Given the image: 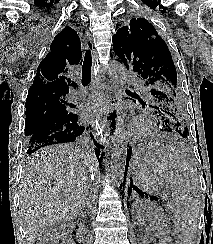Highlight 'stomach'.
I'll list each match as a JSON object with an SVG mask.
<instances>
[{
    "label": "stomach",
    "mask_w": 213,
    "mask_h": 244,
    "mask_svg": "<svg viewBox=\"0 0 213 244\" xmlns=\"http://www.w3.org/2000/svg\"><path fill=\"white\" fill-rule=\"evenodd\" d=\"M156 150L138 149V156L132 162V175L135 185L144 192L158 196L166 184V178L156 168ZM140 154H145L141 157Z\"/></svg>",
    "instance_id": "obj_1"
}]
</instances>
